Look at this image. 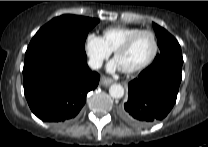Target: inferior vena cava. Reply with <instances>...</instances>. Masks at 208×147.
<instances>
[{"instance_id": "inferior-vena-cava-1", "label": "inferior vena cava", "mask_w": 208, "mask_h": 147, "mask_svg": "<svg viewBox=\"0 0 208 147\" xmlns=\"http://www.w3.org/2000/svg\"><path fill=\"white\" fill-rule=\"evenodd\" d=\"M88 65L92 69H99L102 66V59L100 58H90L88 61Z\"/></svg>"}]
</instances>
